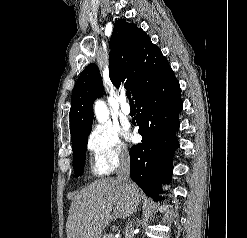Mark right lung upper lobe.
Returning a JSON list of instances; mask_svg holds the SVG:
<instances>
[{"label": "right lung upper lobe", "instance_id": "obj_1", "mask_svg": "<svg viewBox=\"0 0 247 238\" xmlns=\"http://www.w3.org/2000/svg\"><path fill=\"white\" fill-rule=\"evenodd\" d=\"M109 76L112 83L132 92L133 99L157 82L170 67L161 50L136 24L125 19L115 22L110 39ZM103 84L95 64L79 76L71 97L70 130L72 145L90 133L93 102L102 96Z\"/></svg>", "mask_w": 247, "mask_h": 238}]
</instances>
